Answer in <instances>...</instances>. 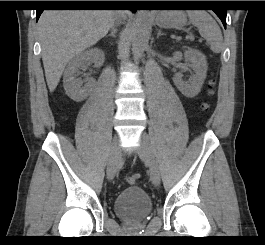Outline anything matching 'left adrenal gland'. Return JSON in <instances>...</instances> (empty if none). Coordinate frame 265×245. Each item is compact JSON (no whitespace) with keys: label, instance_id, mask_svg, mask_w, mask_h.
Masks as SVG:
<instances>
[{"label":"left adrenal gland","instance_id":"1","mask_svg":"<svg viewBox=\"0 0 265 245\" xmlns=\"http://www.w3.org/2000/svg\"><path fill=\"white\" fill-rule=\"evenodd\" d=\"M161 35H163V33L161 32V30H158L157 38H158L159 36H161Z\"/></svg>","mask_w":265,"mask_h":245}]
</instances>
